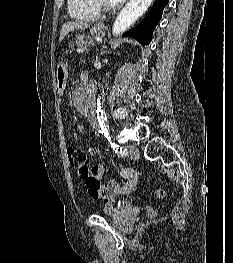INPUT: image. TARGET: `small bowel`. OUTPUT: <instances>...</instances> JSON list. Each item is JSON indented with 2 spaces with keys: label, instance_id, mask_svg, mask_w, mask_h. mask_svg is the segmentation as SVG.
I'll return each instance as SVG.
<instances>
[{
  "label": "small bowel",
  "instance_id": "small-bowel-1",
  "mask_svg": "<svg viewBox=\"0 0 233 263\" xmlns=\"http://www.w3.org/2000/svg\"><path fill=\"white\" fill-rule=\"evenodd\" d=\"M88 168V175L81 177L84 180L88 194L95 200H102L104 211L106 213H114L119 209L129 207L131 199L129 194L134 191L138 183V173L132 168H125L120 175L124 183L116 181H103L105 168L102 164L93 165ZM122 196L118 201L117 197Z\"/></svg>",
  "mask_w": 233,
  "mask_h": 263
}]
</instances>
